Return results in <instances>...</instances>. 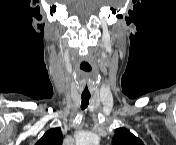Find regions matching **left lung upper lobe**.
<instances>
[{
  "mask_svg": "<svg viewBox=\"0 0 176 145\" xmlns=\"http://www.w3.org/2000/svg\"><path fill=\"white\" fill-rule=\"evenodd\" d=\"M113 145H143V142L135 137L126 128H118L115 130V135L112 139Z\"/></svg>",
  "mask_w": 176,
  "mask_h": 145,
  "instance_id": "obj_1",
  "label": "left lung upper lobe"
}]
</instances>
